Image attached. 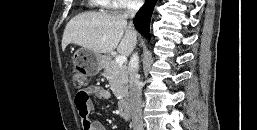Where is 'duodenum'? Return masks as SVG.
I'll list each match as a JSON object with an SVG mask.
<instances>
[{
    "label": "duodenum",
    "mask_w": 257,
    "mask_h": 130,
    "mask_svg": "<svg viewBox=\"0 0 257 130\" xmlns=\"http://www.w3.org/2000/svg\"><path fill=\"white\" fill-rule=\"evenodd\" d=\"M118 109H119L120 115L123 118L125 119L129 118L131 109H130V101L128 97H125L119 101Z\"/></svg>",
    "instance_id": "obj_1"
}]
</instances>
